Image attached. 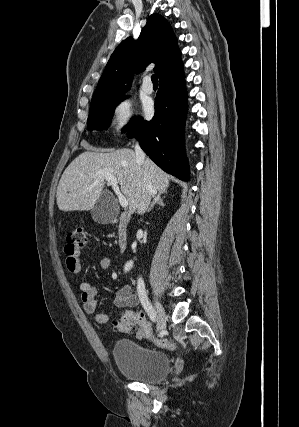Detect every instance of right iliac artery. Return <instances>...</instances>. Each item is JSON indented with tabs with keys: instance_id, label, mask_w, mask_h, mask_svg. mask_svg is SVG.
Listing matches in <instances>:
<instances>
[{
	"instance_id": "obj_1",
	"label": "right iliac artery",
	"mask_w": 299,
	"mask_h": 427,
	"mask_svg": "<svg viewBox=\"0 0 299 427\" xmlns=\"http://www.w3.org/2000/svg\"><path fill=\"white\" fill-rule=\"evenodd\" d=\"M137 293L139 296V299L141 301V304L145 311L147 312L150 319L155 322L156 321V312L154 308L152 307L150 301L148 300L146 291H145V285L143 279L140 277L137 281Z\"/></svg>"
}]
</instances>
